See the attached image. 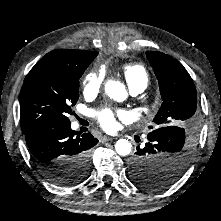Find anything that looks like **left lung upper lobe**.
<instances>
[{
    "label": "left lung upper lobe",
    "instance_id": "5c2ea615",
    "mask_svg": "<svg viewBox=\"0 0 221 221\" xmlns=\"http://www.w3.org/2000/svg\"><path fill=\"white\" fill-rule=\"evenodd\" d=\"M146 56L158 79L163 100L153 120L160 128L150 132L148 140L150 137L157 138L156 134L163 130H168L167 134L175 131L174 134L179 135L148 142L141 154L142 159L148 164L149 172H158L168 178L160 180L156 186H151L145 175L132 174L131 178L141 187L158 189L175 182L188 166L195 140V127L199 123V113L196 88L183 65L161 52L147 51Z\"/></svg>",
    "mask_w": 221,
    "mask_h": 221
}]
</instances>
